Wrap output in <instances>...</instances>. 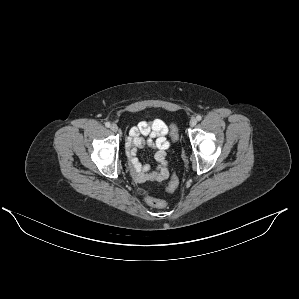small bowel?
Instances as JSON below:
<instances>
[{
	"instance_id": "c3829d8e",
	"label": "small bowel",
	"mask_w": 299,
	"mask_h": 299,
	"mask_svg": "<svg viewBox=\"0 0 299 299\" xmlns=\"http://www.w3.org/2000/svg\"><path fill=\"white\" fill-rule=\"evenodd\" d=\"M168 126L160 119L152 122L142 121L130 130L126 149L134 179L137 182L157 183L169 176V166L166 150L170 143L167 139ZM151 147L155 150L157 167L152 170L150 165L142 164L137 156V150L142 147Z\"/></svg>"
}]
</instances>
